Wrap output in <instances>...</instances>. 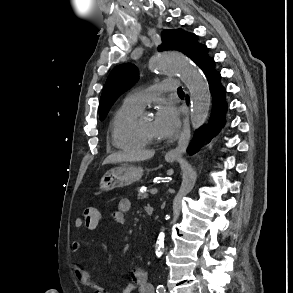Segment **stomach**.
Wrapping results in <instances>:
<instances>
[{
	"instance_id": "stomach-1",
	"label": "stomach",
	"mask_w": 293,
	"mask_h": 293,
	"mask_svg": "<svg viewBox=\"0 0 293 293\" xmlns=\"http://www.w3.org/2000/svg\"><path fill=\"white\" fill-rule=\"evenodd\" d=\"M175 157L166 156L167 162H174ZM143 169L130 164H124L106 172L99 183L101 191H110L115 188L129 186L141 179Z\"/></svg>"
}]
</instances>
